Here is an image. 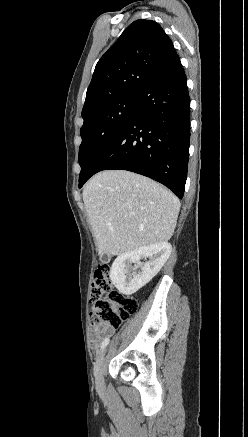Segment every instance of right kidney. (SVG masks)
<instances>
[{"label":"right kidney","mask_w":248,"mask_h":437,"mask_svg":"<svg viewBox=\"0 0 248 437\" xmlns=\"http://www.w3.org/2000/svg\"><path fill=\"white\" fill-rule=\"evenodd\" d=\"M172 252L168 242L137 248L119 255L110 269V279L118 291L125 295H132L145 286L160 271ZM149 258L145 263L140 259ZM135 263L141 271H130V264ZM134 269V270H135Z\"/></svg>","instance_id":"1"}]
</instances>
